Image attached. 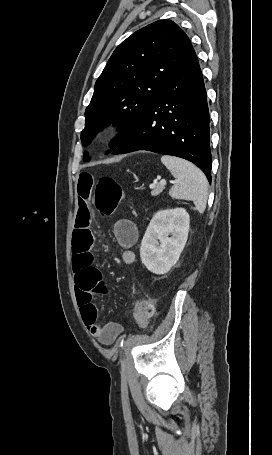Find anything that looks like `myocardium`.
Wrapping results in <instances>:
<instances>
[{"label": "myocardium", "mask_w": 272, "mask_h": 455, "mask_svg": "<svg viewBox=\"0 0 272 455\" xmlns=\"http://www.w3.org/2000/svg\"><path fill=\"white\" fill-rule=\"evenodd\" d=\"M110 133L109 129H105L102 131V135H108Z\"/></svg>", "instance_id": "f54148a6"}]
</instances>
